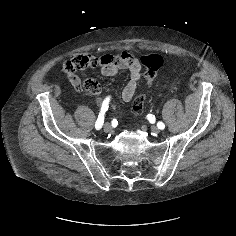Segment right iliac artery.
Listing matches in <instances>:
<instances>
[{"label": "right iliac artery", "mask_w": 236, "mask_h": 236, "mask_svg": "<svg viewBox=\"0 0 236 236\" xmlns=\"http://www.w3.org/2000/svg\"><path fill=\"white\" fill-rule=\"evenodd\" d=\"M109 101H110V97H107L102 103L101 112L99 113L98 119L95 124V128L97 130H99L104 123V114L108 110Z\"/></svg>", "instance_id": "1"}]
</instances>
